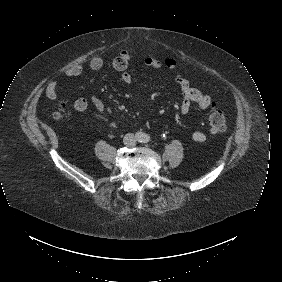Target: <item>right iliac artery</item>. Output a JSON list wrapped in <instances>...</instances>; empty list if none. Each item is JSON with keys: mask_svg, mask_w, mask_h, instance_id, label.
Instances as JSON below:
<instances>
[{"mask_svg": "<svg viewBox=\"0 0 282 282\" xmlns=\"http://www.w3.org/2000/svg\"><path fill=\"white\" fill-rule=\"evenodd\" d=\"M140 137H141V136L138 134V135H137V138L139 139Z\"/></svg>", "mask_w": 282, "mask_h": 282, "instance_id": "82829eb1", "label": "right iliac artery"}]
</instances>
